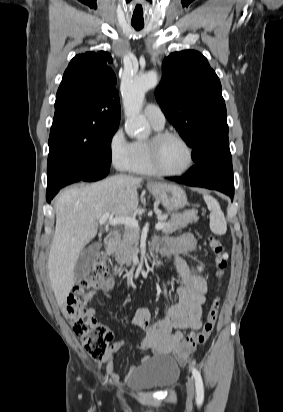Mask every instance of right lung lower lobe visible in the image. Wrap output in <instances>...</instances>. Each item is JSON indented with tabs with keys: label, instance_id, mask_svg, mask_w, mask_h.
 I'll use <instances>...</instances> for the list:
<instances>
[{
	"label": "right lung lower lobe",
	"instance_id": "1",
	"mask_svg": "<svg viewBox=\"0 0 283 412\" xmlns=\"http://www.w3.org/2000/svg\"><path fill=\"white\" fill-rule=\"evenodd\" d=\"M110 163H90L79 167H61L48 173L46 200L48 203L64 186L83 180L97 181L109 173Z\"/></svg>",
	"mask_w": 283,
	"mask_h": 412
}]
</instances>
